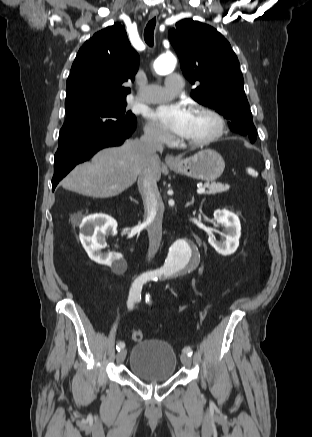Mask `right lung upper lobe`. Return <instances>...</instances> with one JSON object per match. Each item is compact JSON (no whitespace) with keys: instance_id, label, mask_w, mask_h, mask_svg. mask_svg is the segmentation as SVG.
Masks as SVG:
<instances>
[{"instance_id":"obj_1","label":"right lung upper lobe","mask_w":312,"mask_h":437,"mask_svg":"<svg viewBox=\"0 0 312 437\" xmlns=\"http://www.w3.org/2000/svg\"><path fill=\"white\" fill-rule=\"evenodd\" d=\"M139 56L119 23L93 35L79 49L67 79L65 107L79 103L126 101L130 89L122 83L134 80Z\"/></svg>"}]
</instances>
